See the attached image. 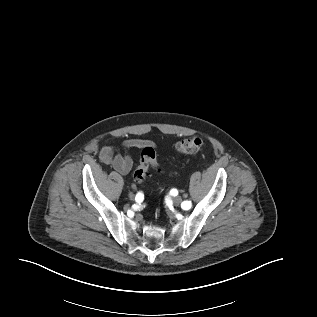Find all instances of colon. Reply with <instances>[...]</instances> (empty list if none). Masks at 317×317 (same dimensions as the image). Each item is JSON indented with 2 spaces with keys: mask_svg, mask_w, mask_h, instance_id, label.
Returning <instances> with one entry per match:
<instances>
[{
  "mask_svg": "<svg viewBox=\"0 0 317 317\" xmlns=\"http://www.w3.org/2000/svg\"><path fill=\"white\" fill-rule=\"evenodd\" d=\"M201 145L202 141L199 137L190 136L177 142L175 149L183 154H194L199 151ZM158 166L159 160L154 149L150 146L143 148L140 154L139 165L134 172V180L137 183L144 182L148 173V169L150 167L156 169Z\"/></svg>",
  "mask_w": 317,
  "mask_h": 317,
  "instance_id": "1",
  "label": "colon"
}]
</instances>
